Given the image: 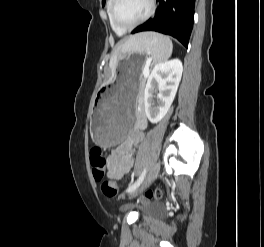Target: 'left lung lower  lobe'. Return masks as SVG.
Returning <instances> with one entry per match:
<instances>
[{
	"label": "left lung lower lobe",
	"instance_id": "obj_1",
	"mask_svg": "<svg viewBox=\"0 0 264 247\" xmlns=\"http://www.w3.org/2000/svg\"><path fill=\"white\" fill-rule=\"evenodd\" d=\"M155 15L131 33L156 31L176 38L188 47L193 28L195 0H157Z\"/></svg>",
	"mask_w": 264,
	"mask_h": 247
}]
</instances>
